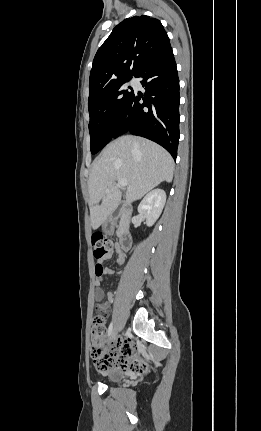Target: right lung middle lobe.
<instances>
[{
  "label": "right lung middle lobe",
  "instance_id": "obj_1",
  "mask_svg": "<svg viewBox=\"0 0 261 431\" xmlns=\"http://www.w3.org/2000/svg\"><path fill=\"white\" fill-rule=\"evenodd\" d=\"M131 78L89 94V132L92 154L100 151L112 139L118 120L134 94L130 86H125Z\"/></svg>",
  "mask_w": 261,
  "mask_h": 431
}]
</instances>
